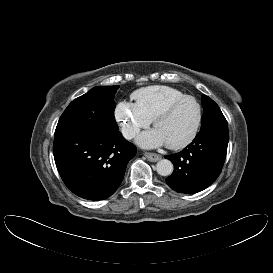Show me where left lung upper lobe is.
<instances>
[{
  "label": "left lung upper lobe",
  "instance_id": "obj_1",
  "mask_svg": "<svg viewBox=\"0 0 273 273\" xmlns=\"http://www.w3.org/2000/svg\"><path fill=\"white\" fill-rule=\"evenodd\" d=\"M202 106L204 113L202 115V125L200 131L228 126V123L220 108L211 98L202 95Z\"/></svg>",
  "mask_w": 273,
  "mask_h": 273
}]
</instances>
